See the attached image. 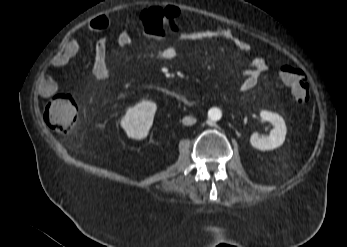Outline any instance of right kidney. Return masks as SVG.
<instances>
[{
	"label": "right kidney",
	"instance_id": "ca27d5eb",
	"mask_svg": "<svg viewBox=\"0 0 347 247\" xmlns=\"http://www.w3.org/2000/svg\"><path fill=\"white\" fill-rule=\"evenodd\" d=\"M156 109V104L151 101H142L129 108L120 122L127 136L137 140L145 138L153 124Z\"/></svg>",
	"mask_w": 347,
	"mask_h": 247
}]
</instances>
